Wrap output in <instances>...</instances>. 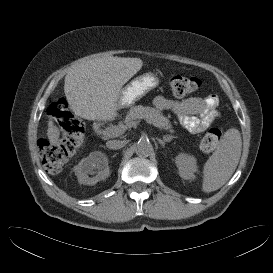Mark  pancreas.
I'll list each match as a JSON object with an SVG mask.
<instances>
[{
  "mask_svg": "<svg viewBox=\"0 0 273 273\" xmlns=\"http://www.w3.org/2000/svg\"><path fill=\"white\" fill-rule=\"evenodd\" d=\"M145 119L147 123L157 128L173 132L171 122L160 111L152 107L142 105L133 106L126 115L124 124L120 123L118 127L126 126L130 128L135 125L136 120Z\"/></svg>",
  "mask_w": 273,
  "mask_h": 273,
  "instance_id": "pancreas-1",
  "label": "pancreas"
}]
</instances>
